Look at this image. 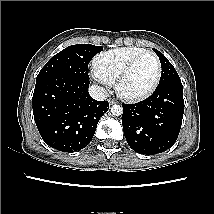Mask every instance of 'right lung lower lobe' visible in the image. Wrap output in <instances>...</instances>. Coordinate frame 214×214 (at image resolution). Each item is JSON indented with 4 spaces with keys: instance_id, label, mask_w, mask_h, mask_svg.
Instances as JSON below:
<instances>
[{
    "instance_id": "98d812e1",
    "label": "right lung lower lobe",
    "mask_w": 214,
    "mask_h": 214,
    "mask_svg": "<svg viewBox=\"0 0 214 214\" xmlns=\"http://www.w3.org/2000/svg\"><path fill=\"white\" fill-rule=\"evenodd\" d=\"M90 81L52 75L36 81L32 99L34 120L42 139L63 152L79 151L92 140L108 101L88 93Z\"/></svg>"
}]
</instances>
